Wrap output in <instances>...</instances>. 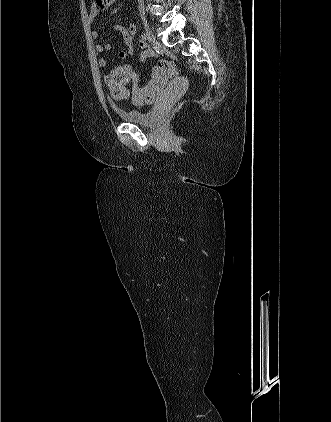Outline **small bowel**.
<instances>
[{
    "label": "small bowel",
    "instance_id": "1",
    "mask_svg": "<svg viewBox=\"0 0 331 422\" xmlns=\"http://www.w3.org/2000/svg\"><path fill=\"white\" fill-rule=\"evenodd\" d=\"M118 2L119 0H92L90 10H89L90 23H93L96 17L104 13L110 6ZM112 30L119 32L124 39L125 47L122 51H120L119 57L121 59H126L130 56H133L134 55V37L136 33L135 26L131 22H128L127 26L115 25L112 27ZM91 36L94 39H97L99 37V32L97 30H92ZM139 46L141 48L139 59L142 62L146 61L151 56L152 52L144 41H141ZM111 48H112L111 43L96 44L95 50L98 54V63L100 67L104 68L106 66L107 60L105 58V52L111 50ZM103 77L108 86L109 74H104ZM164 85H165V80H158L157 78H155L153 74L150 82L144 88L136 91L135 102L137 103L142 102L138 99V97H143L147 99L146 101L147 103L152 102L155 99V97L163 90Z\"/></svg>",
    "mask_w": 331,
    "mask_h": 422
}]
</instances>
